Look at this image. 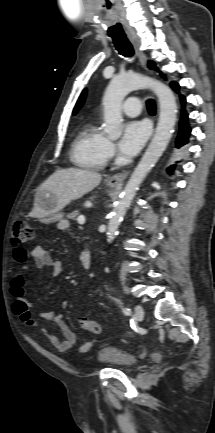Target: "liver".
<instances>
[{"mask_svg": "<svg viewBox=\"0 0 215 433\" xmlns=\"http://www.w3.org/2000/svg\"><path fill=\"white\" fill-rule=\"evenodd\" d=\"M102 180L101 174L85 169L66 168L55 171L46 179L38 190H46L55 195V207L64 208L72 200L81 198L84 194L97 187ZM45 212L38 207L35 200L30 216L40 218Z\"/></svg>", "mask_w": 215, "mask_h": 433, "instance_id": "6515ba94", "label": "liver"}]
</instances>
